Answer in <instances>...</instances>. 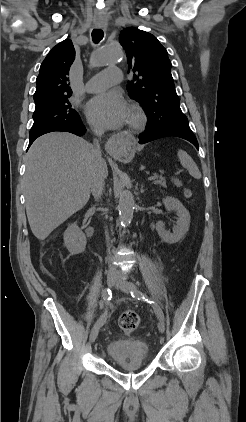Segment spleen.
<instances>
[{"label": "spleen", "instance_id": "obj_1", "mask_svg": "<svg viewBox=\"0 0 246 422\" xmlns=\"http://www.w3.org/2000/svg\"><path fill=\"white\" fill-rule=\"evenodd\" d=\"M178 158L180 160V163L183 167H185L189 174L194 177L195 179L201 178V173L196 165V163L193 161V159L185 152L184 150H178Z\"/></svg>", "mask_w": 246, "mask_h": 422}]
</instances>
